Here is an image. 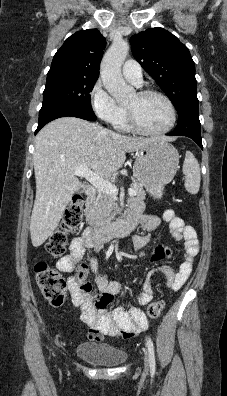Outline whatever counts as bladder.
Returning <instances> with one entry per match:
<instances>
[{
  "mask_svg": "<svg viewBox=\"0 0 227 396\" xmlns=\"http://www.w3.org/2000/svg\"><path fill=\"white\" fill-rule=\"evenodd\" d=\"M75 352L83 361L102 367L117 366L127 359L126 352L97 342H82Z\"/></svg>",
  "mask_w": 227,
  "mask_h": 396,
  "instance_id": "obj_1",
  "label": "bladder"
}]
</instances>
